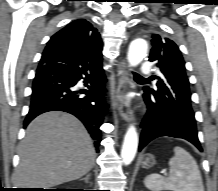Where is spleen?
I'll use <instances>...</instances> for the list:
<instances>
[{"label": "spleen", "instance_id": "obj_1", "mask_svg": "<svg viewBox=\"0 0 218 191\" xmlns=\"http://www.w3.org/2000/svg\"><path fill=\"white\" fill-rule=\"evenodd\" d=\"M173 151L174 156L169 161V176L150 174L144 179L145 186L151 191H204L201 173L194 158L181 147H175Z\"/></svg>", "mask_w": 218, "mask_h": 191}]
</instances>
